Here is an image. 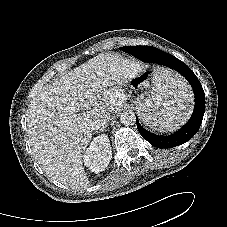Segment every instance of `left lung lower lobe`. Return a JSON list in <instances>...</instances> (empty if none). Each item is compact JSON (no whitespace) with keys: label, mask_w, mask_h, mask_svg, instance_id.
<instances>
[{"label":"left lung lower lobe","mask_w":227,"mask_h":227,"mask_svg":"<svg viewBox=\"0 0 227 227\" xmlns=\"http://www.w3.org/2000/svg\"><path fill=\"white\" fill-rule=\"evenodd\" d=\"M127 52L136 58L168 66L182 74L191 84L195 94V108L191 119L176 133L161 137L145 130L137 119V128L142 137L158 148H172L189 141L198 131L205 112V94L193 71L176 57L151 46H132Z\"/></svg>","instance_id":"1"}]
</instances>
